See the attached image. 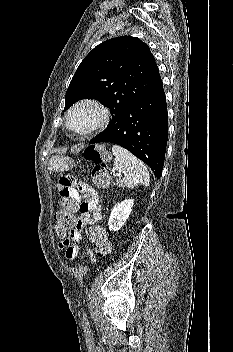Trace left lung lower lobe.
<instances>
[{
	"instance_id": "1",
	"label": "left lung lower lobe",
	"mask_w": 233,
	"mask_h": 352,
	"mask_svg": "<svg viewBox=\"0 0 233 352\" xmlns=\"http://www.w3.org/2000/svg\"><path fill=\"white\" fill-rule=\"evenodd\" d=\"M168 119L163 83L160 80L146 95L130 104L109 129L90 143H114L148 164L160 178L167 146Z\"/></svg>"
}]
</instances>
